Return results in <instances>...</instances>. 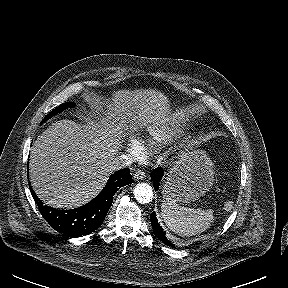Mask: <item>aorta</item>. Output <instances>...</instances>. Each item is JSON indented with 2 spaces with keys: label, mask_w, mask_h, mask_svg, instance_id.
I'll use <instances>...</instances> for the list:
<instances>
[{
  "label": "aorta",
  "mask_w": 288,
  "mask_h": 288,
  "mask_svg": "<svg viewBox=\"0 0 288 288\" xmlns=\"http://www.w3.org/2000/svg\"><path fill=\"white\" fill-rule=\"evenodd\" d=\"M133 194L135 199L141 204L149 203L153 199V189L148 183L141 182L136 184Z\"/></svg>",
  "instance_id": "1"
}]
</instances>
